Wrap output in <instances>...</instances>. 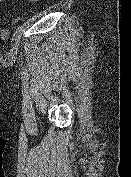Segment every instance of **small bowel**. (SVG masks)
Returning a JSON list of instances; mask_svg holds the SVG:
<instances>
[{
	"label": "small bowel",
	"instance_id": "small-bowel-1",
	"mask_svg": "<svg viewBox=\"0 0 131 177\" xmlns=\"http://www.w3.org/2000/svg\"><path fill=\"white\" fill-rule=\"evenodd\" d=\"M6 0H0V5H3L5 3ZM29 3H38L41 0H27ZM5 34V32H3V35Z\"/></svg>",
	"mask_w": 131,
	"mask_h": 177
}]
</instances>
